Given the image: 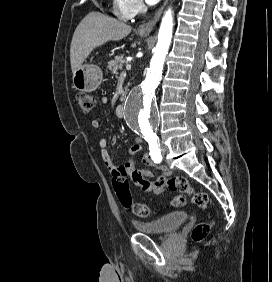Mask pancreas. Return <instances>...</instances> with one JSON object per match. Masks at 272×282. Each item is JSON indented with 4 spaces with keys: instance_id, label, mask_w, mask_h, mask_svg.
<instances>
[{
    "instance_id": "cf45deb5",
    "label": "pancreas",
    "mask_w": 272,
    "mask_h": 282,
    "mask_svg": "<svg viewBox=\"0 0 272 282\" xmlns=\"http://www.w3.org/2000/svg\"><path fill=\"white\" fill-rule=\"evenodd\" d=\"M125 65L124 55H118L113 60L108 62L107 69L112 71L113 74H117L118 70H121Z\"/></svg>"
}]
</instances>
